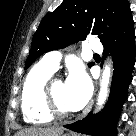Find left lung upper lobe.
<instances>
[{
    "label": "left lung upper lobe",
    "mask_w": 136,
    "mask_h": 136,
    "mask_svg": "<svg viewBox=\"0 0 136 136\" xmlns=\"http://www.w3.org/2000/svg\"><path fill=\"white\" fill-rule=\"evenodd\" d=\"M131 13L127 0H64L47 14L33 36L27 69L40 55L97 35L103 42ZM93 63L89 64L91 67Z\"/></svg>",
    "instance_id": "5c2ea615"
}]
</instances>
